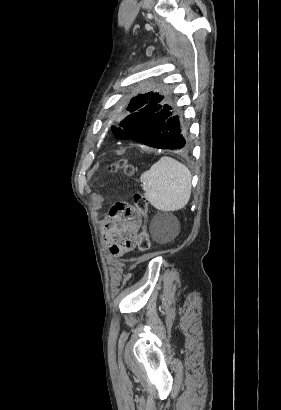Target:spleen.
Returning <instances> with one entry per match:
<instances>
[{
	"instance_id": "3e777b00",
	"label": "spleen",
	"mask_w": 281,
	"mask_h": 410,
	"mask_svg": "<svg viewBox=\"0 0 281 410\" xmlns=\"http://www.w3.org/2000/svg\"><path fill=\"white\" fill-rule=\"evenodd\" d=\"M191 172L177 160L164 156L140 176L146 200L161 211L184 208L191 194Z\"/></svg>"
}]
</instances>
